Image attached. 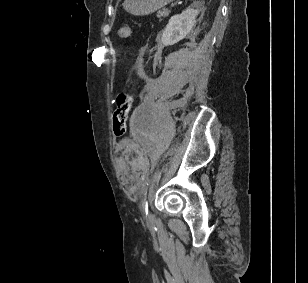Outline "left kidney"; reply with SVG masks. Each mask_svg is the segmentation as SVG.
Returning a JSON list of instances; mask_svg holds the SVG:
<instances>
[{
	"instance_id": "1",
	"label": "left kidney",
	"mask_w": 308,
	"mask_h": 283,
	"mask_svg": "<svg viewBox=\"0 0 308 283\" xmlns=\"http://www.w3.org/2000/svg\"><path fill=\"white\" fill-rule=\"evenodd\" d=\"M202 5L201 2H194L181 14L172 16L162 32L161 43L168 46L184 39L195 27L196 17L199 15Z\"/></svg>"
}]
</instances>
